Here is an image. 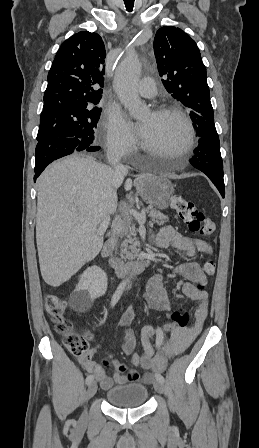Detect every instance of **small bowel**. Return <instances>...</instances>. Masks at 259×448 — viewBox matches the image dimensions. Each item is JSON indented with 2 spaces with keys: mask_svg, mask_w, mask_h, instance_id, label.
I'll use <instances>...</instances> for the list:
<instances>
[{
  "mask_svg": "<svg viewBox=\"0 0 259 448\" xmlns=\"http://www.w3.org/2000/svg\"><path fill=\"white\" fill-rule=\"evenodd\" d=\"M155 244L164 249H177L184 252L187 258H193L197 253L210 254V245L199 238H192L177 232L171 226H164L158 233ZM173 274L184 278L180 286L182 293L186 294L192 300L198 302L194 312V322L190 326L182 328H173L169 323L164 325V330L169 334L163 350L156 355L154 346L151 343L154 335V329L151 326H145L141 330V343L143 346V354L140 365L144 370L149 372L141 375L134 370H128L126 365L114 359L109 353L100 363L93 360L94 353L100 348L96 346L83 357H79V362L83 369L95 377L100 386L104 390L110 389L114 384H127L142 381L149 384L153 380V375L165 369L168 359L172 356L184 352L198 337L202 331L203 324L208 315V293L204 288H198L196 284L204 283L207 279L201 266L195 262L188 260L177 265L172 269ZM164 275L156 274L150 278L145 293L142 296L143 303L151 309L165 311L169 315L170 307L168 303V295L163 285ZM134 317V311H126L119 320V326L123 328L122 352L129 356L132 354L136 346V337L129 328ZM89 340L93 339L90 333L86 334ZM114 368V372L109 375L108 369Z\"/></svg>",
  "mask_w": 259,
  "mask_h": 448,
  "instance_id": "c3829d8e",
  "label": "small bowel"
}]
</instances>
